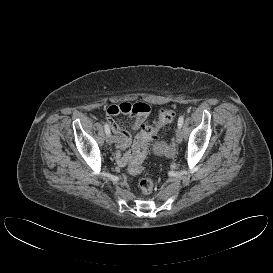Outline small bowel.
Returning a JSON list of instances; mask_svg holds the SVG:
<instances>
[{
  "label": "small bowel",
  "mask_w": 273,
  "mask_h": 273,
  "mask_svg": "<svg viewBox=\"0 0 273 273\" xmlns=\"http://www.w3.org/2000/svg\"><path fill=\"white\" fill-rule=\"evenodd\" d=\"M150 111V106L143 102L133 104L123 102L120 104L110 105L106 109V118L114 134L115 158L118 165L125 166L132 158L134 148L141 140V128L150 114ZM119 114L135 117L132 124V130L136 132V134L133 139L128 132L120 128L114 121L113 117ZM130 146H132V149L128 150Z\"/></svg>",
  "instance_id": "small-bowel-1"
}]
</instances>
